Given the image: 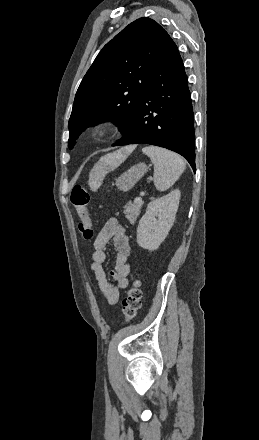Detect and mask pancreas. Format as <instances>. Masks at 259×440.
Listing matches in <instances>:
<instances>
[{"label":"pancreas","mask_w":259,"mask_h":440,"mask_svg":"<svg viewBox=\"0 0 259 440\" xmlns=\"http://www.w3.org/2000/svg\"><path fill=\"white\" fill-rule=\"evenodd\" d=\"M143 203V201L136 202L134 200L133 202H129L124 206L123 213L126 215L129 221H134L136 219L140 213Z\"/></svg>","instance_id":"1"}]
</instances>
